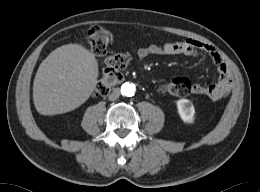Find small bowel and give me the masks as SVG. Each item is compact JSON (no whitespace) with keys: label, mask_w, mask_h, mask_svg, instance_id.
<instances>
[{"label":"small bowel","mask_w":260,"mask_h":192,"mask_svg":"<svg viewBox=\"0 0 260 192\" xmlns=\"http://www.w3.org/2000/svg\"><path fill=\"white\" fill-rule=\"evenodd\" d=\"M200 52L205 53L216 65L218 80L209 86L192 83V93L207 96L212 100L226 97L232 86V75L222 56L211 45L195 39H186L184 41H167L162 44H151L134 49V54L139 59L150 55L197 56Z\"/></svg>","instance_id":"small-bowel-1"}]
</instances>
